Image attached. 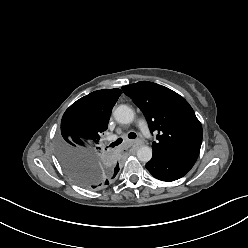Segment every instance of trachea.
<instances>
[{"label": "trachea", "instance_id": "1", "mask_svg": "<svg viewBox=\"0 0 248 248\" xmlns=\"http://www.w3.org/2000/svg\"><path fill=\"white\" fill-rule=\"evenodd\" d=\"M128 137L130 139H135L136 138V134L134 132H131L128 134ZM123 139L122 138H118L115 142L111 143L110 144V147H115V146H118L122 143Z\"/></svg>", "mask_w": 248, "mask_h": 248}]
</instances>
